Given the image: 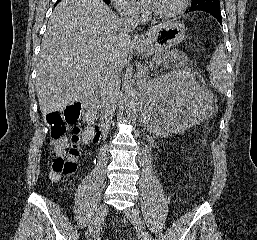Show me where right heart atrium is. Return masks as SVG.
I'll return each instance as SVG.
<instances>
[{"instance_id":"right-heart-atrium-1","label":"right heart atrium","mask_w":257,"mask_h":240,"mask_svg":"<svg viewBox=\"0 0 257 240\" xmlns=\"http://www.w3.org/2000/svg\"><path fill=\"white\" fill-rule=\"evenodd\" d=\"M117 9L125 16L132 19H139L142 11L135 0H113Z\"/></svg>"}]
</instances>
